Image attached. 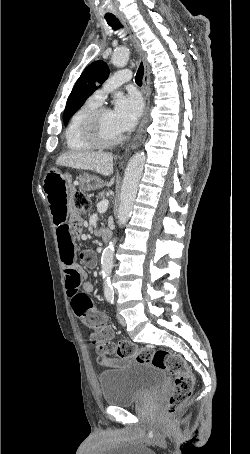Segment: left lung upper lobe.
Returning <instances> with one entry per match:
<instances>
[{
  "label": "left lung upper lobe",
  "instance_id": "left-lung-upper-lobe-1",
  "mask_svg": "<svg viewBox=\"0 0 250 454\" xmlns=\"http://www.w3.org/2000/svg\"><path fill=\"white\" fill-rule=\"evenodd\" d=\"M109 76V68L103 61L90 64L77 80L68 98L63 114L64 123L84 104L85 100Z\"/></svg>",
  "mask_w": 250,
  "mask_h": 454
}]
</instances>
